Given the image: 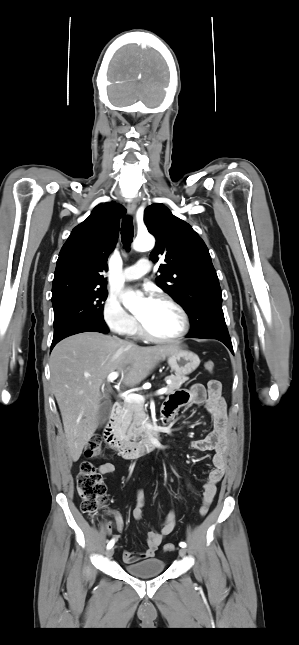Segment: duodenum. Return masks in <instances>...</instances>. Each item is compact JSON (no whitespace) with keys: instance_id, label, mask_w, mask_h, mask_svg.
<instances>
[{"instance_id":"1","label":"duodenum","mask_w":299,"mask_h":645,"mask_svg":"<svg viewBox=\"0 0 299 645\" xmlns=\"http://www.w3.org/2000/svg\"><path fill=\"white\" fill-rule=\"evenodd\" d=\"M122 414V406L115 403L111 409L109 420L104 428L105 442L124 459H134L157 449L161 444V431L150 433L142 440L131 442L123 439L118 432V421Z\"/></svg>"}]
</instances>
